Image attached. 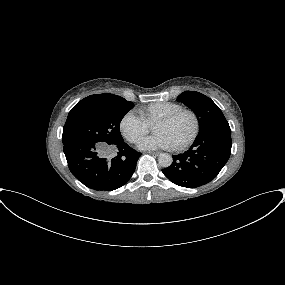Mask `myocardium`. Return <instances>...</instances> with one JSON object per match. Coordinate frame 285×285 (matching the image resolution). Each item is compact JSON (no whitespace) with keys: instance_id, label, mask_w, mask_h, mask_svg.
Listing matches in <instances>:
<instances>
[{"instance_id":"1","label":"myocardium","mask_w":285,"mask_h":285,"mask_svg":"<svg viewBox=\"0 0 285 285\" xmlns=\"http://www.w3.org/2000/svg\"><path fill=\"white\" fill-rule=\"evenodd\" d=\"M184 114H188L192 117L193 122H194V126H193V130H192L191 134L181 144L173 146V148L177 151H181V150L187 148L197 138V136L200 132V127H201L200 118H199L198 114L191 109H180L178 111L172 112L168 115H165V116L159 118L154 123V124H156V123H169V122L174 121L176 118H178L179 116L184 115Z\"/></svg>"}]
</instances>
